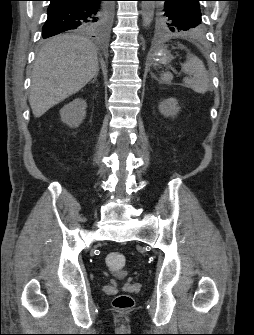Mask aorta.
<instances>
[{
    "label": "aorta",
    "instance_id": "1",
    "mask_svg": "<svg viewBox=\"0 0 254 335\" xmlns=\"http://www.w3.org/2000/svg\"><path fill=\"white\" fill-rule=\"evenodd\" d=\"M155 4L152 1H143L141 4L142 24L149 27L154 16Z\"/></svg>",
    "mask_w": 254,
    "mask_h": 335
}]
</instances>
